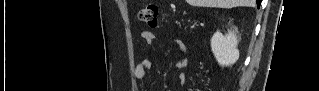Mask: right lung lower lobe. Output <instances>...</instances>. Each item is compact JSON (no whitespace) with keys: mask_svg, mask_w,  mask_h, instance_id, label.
<instances>
[{"mask_svg":"<svg viewBox=\"0 0 319 91\" xmlns=\"http://www.w3.org/2000/svg\"><path fill=\"white\" fill-rule=\"evenodd\" d=\"M256 2H257V6L259 7L260 3H261V0H256Z\"/></svg>","mask_w":319,"mask_h":91,"instance_id":"right-lung-lower-lobe-1","label":"right lung lower lobe"}]
</instances>
